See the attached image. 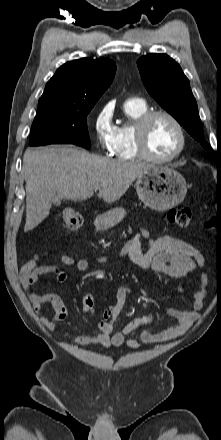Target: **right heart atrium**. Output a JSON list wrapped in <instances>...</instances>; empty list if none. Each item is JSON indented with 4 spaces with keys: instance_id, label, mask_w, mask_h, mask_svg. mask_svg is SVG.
<instances>
[{
    "instance_id": "right-heart-atrium-1",
    "label": "right heart atrium",
    "mask_w": 221,
    "mask_h": 440,
    "mask_svg": "<svg viewBox=\"0 0 221 440\" xmlns=\"http://www.w3.org/2000/svg\"><path fill=\"white\" fill-rule=\"evenodd\" d=\"M116 127L112 122L110 106L102 107L93 120L94 138L97 146L104 152L110 153L113 148Z\"/></svg>"
}]
</instances>
